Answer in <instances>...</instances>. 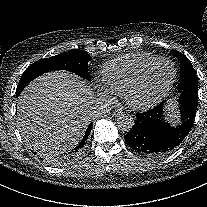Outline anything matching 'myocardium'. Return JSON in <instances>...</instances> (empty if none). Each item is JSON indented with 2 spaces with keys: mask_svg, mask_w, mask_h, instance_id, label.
<instances>
[{
  "mask_svg": "<svg viewBox=\"0 0 207 207\" xmlns=\"http://www.w3.org/2000/svg\"><path fill=\"white\" fill-rule=\"evenodd\" d=\"M161 62L171 63L174 67V72H173L172 79H171L167 89L165 90L163 96L159 100L166 98L171 94V92L174 88V85L176 83V80H177L178 69H177V66H176V63L174 60H172L171 58H168V57H161V58H158V59L152 61L150 64H148L143 69L141 74L139 75L137 81L126 92L125 100H126V103L129 105V107L132 110L139 111V110L143 109L145 106H147L153 102L158 101V100H155L152 102L142 103L137 100V96L141 91L144 90L149 72Z\"/></svg>",
  "mask_w": 207,
  "mask_h": 207,
  "instance_id": "obj_1",
  "label": "myocardium"
}]
</instances>
